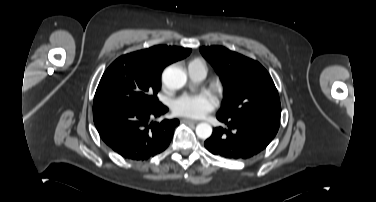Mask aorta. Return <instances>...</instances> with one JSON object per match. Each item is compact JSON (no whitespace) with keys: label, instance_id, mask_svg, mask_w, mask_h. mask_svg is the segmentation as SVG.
I'll use <instances>...</instances> for the list:
<instances>
[{"label":"aorta","instance_id":"762f6f07","mask_svg":"<svg viewBox=\"0 0 376 202\" xmlns=\"http://www.w3.org/2000/svg\"><path fill=\"white\" fill-rule=\"evenodd\" d=\"M162 80L168 89H180L187 82L186 73L177 66H169L162 74ZM212 134V127L208 123H199L196 127V135L201 139H207Z\"/></svg>","mask_w":376,"mask_h":202}]
</instances>
